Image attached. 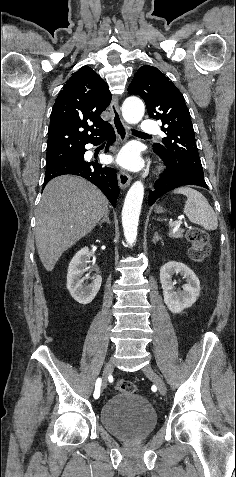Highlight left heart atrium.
<instances>
[{
	"label": "left heart atrium",
	"instance_id": "left-heart-atrium-1",
	"mask_svg": "<svg viewBox=\"0 0 236 477\" xmlns=\"http://www.w3.org/2000/svg\"><path fill=\"white\" fill-rule=\"evenodd\" d=\"M115 160L120 166L130 170H136L142 164L138 152L132 147L124 148Z\"/></svg>",
	"mask_w": 236,
	"mask_h": 477
}]
</instances>
